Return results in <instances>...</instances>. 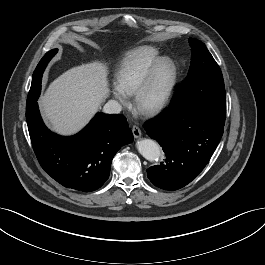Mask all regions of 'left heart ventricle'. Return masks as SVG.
Segmentation results:
<instances>
[{
    "label": "left heart ventricle",
    "mask_w": 265,
    "mask_h": 265,
    "mask_svg": "<svg viewBox=\"0 0 265 265\" xmlns=\"http://www.w3.org/2000/svg\"><path fill=\"white\" fill-rule=\"evenodd\" d=\"M164 84H165V74L163 73L160 77V79L158 80L152 94H151V97L154 98L156 97L157 95H159L162 90H163V87H164Z\"/></svg>",
    "instance_id": "left-heart-ventricle-1"
}]
</instances>
